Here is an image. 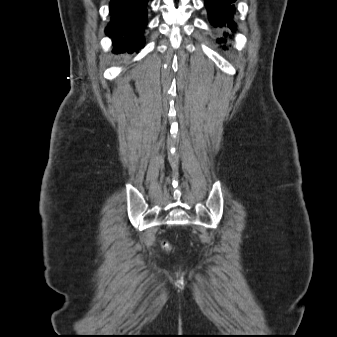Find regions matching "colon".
Here are the masks:
<instances>
[{
  "label": "colon",
  "instance_id": "1",
  "mask_svg": "<svg viewBox=\"0 0 337 337\" xmlns=\"http://www.w3.org/2000/svg\"><path fill=\"white\" fill-rule=\"evenodd\" d=\"M163 247H164L165 249H169V248H170V245H169V243L165 242V243L163 244Z\"/></svg>",
  "mask_w": 337,
  "mask_h": 337
}]
</instances>
